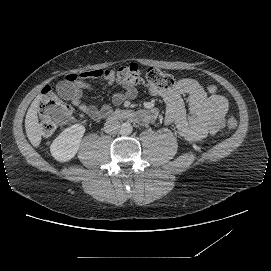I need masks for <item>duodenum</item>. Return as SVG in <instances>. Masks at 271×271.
<instances>
[{"mask_svg":"<svg viewBox=\"0 0 271 271\" xmlns=\"http://www.w3.org/2000/svg\"><path fill=\"white\" fill-rule=\"evenodd\" d=\"M116 120L140 121L142 116L133 111L119 110L108 117L107 123H112Z\"/></svg>","mask_w":271,"mask_h":271,"instance_id":"410a0bca","label":"duodenum"}]
</instances>
